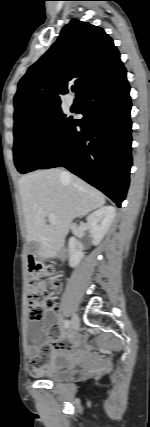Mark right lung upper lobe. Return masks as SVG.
I'll return each instance as SVG.
<instances>
[{"mask_svg":"<svg viewBox=\"0 0 150 427\" xmlns=\"http://www.w3.org/2000/svg\"><path fill=\"white\" fill-rule=\"evenodd\" d=\"M122 65L113 40L100 27L77 19L65 25L58 40L27 71L14 97V120L60 106L70 83L79 97Z\"/></svg>","mask_w":150,"mask_h":427,"instance_id":"obj_1","label":"right lung upper lobe"}]
</instances>
